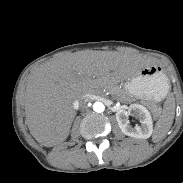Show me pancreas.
I'll list each match as a JSON object with an SVG mask.
<instances>
[{
  "instance_id": "pancreas-1",
  "label": "pancreas",
  "mask_w": 183,
  "mask_h": 183,
  "mask_svg": "<svg viewBox=\"0 0 183 183\" xmlns=\"http://www.w3.org/2000/svg\"><path fill=\"white\" fill-rule=\"evenodd\" d=\"M118 94L120 95V98L126 99V97H125L126 93L124 91L120 90V91H118Z\"/></svg>"
}]
</instances>
